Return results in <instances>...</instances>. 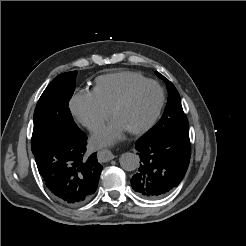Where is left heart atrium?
<instances>
[{
	"label": "left heart atrium",
	"mask_w": 246,
	"mask_h": 246,
	"mask_svg": "<svg viewBox=\"0 0 246 246\" xmlns=\"http://www.w3.org/2000/svg\"><path fill=\"white\" fill-rule=\"evenodd\" d=\"M124 130V126L118 120L114 119L93 135L92 142L96 146L109 145L116 141Z\"/></svg>",
	"instance_id": "39dd6f15"
}]
</instances>
